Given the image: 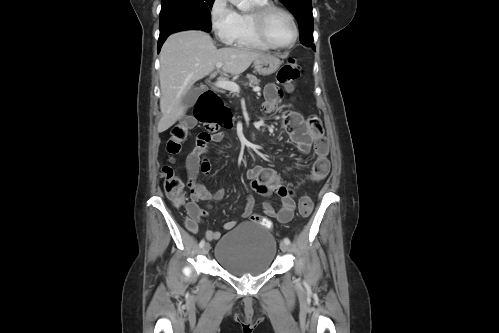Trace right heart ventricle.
Listing matches in <instances>:
<instances>
[{
    "label": "right heart ventricle",
    "instance_id": "e07e8e85",
    "mask_svg": "<svg viewBox=\"0 0 499 333\" xmlns=\"http://www.w3.org/2000/svg\"><path fill=\"white\" fill-rule=\"evenodd\" d=\"M255 7L264 6L269 3V0H253ZM237 28L234 35V39L231 44L234 46L252 49V50H269L271 49L267 44H265L260 37L257 35L252 19L251 13L247 12H237Z\"/></svg>",
    "mask_w": 499,
    "mask_h": 333
}]
</instances>
